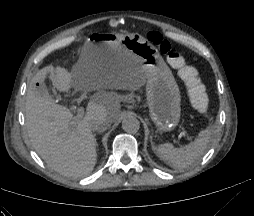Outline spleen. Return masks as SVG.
<instances>
[{"instance_id":"obj_1","label":"spleen","mask_w":254,"mask_h":216,"mask_svg":"<svg viewBox=\"0 0 254 216\" xmlns=\"http://www.w3.org/2000/svg\"><path fill=\"white\" fill-rule=\"evenodd\" d=\"M212 135V129L207 128L198 133L190 144L174 148L171 143H165L155 149L156 155L174 169L182 170L191 166L206 150Z\"/></svg>"}]
</instances>
